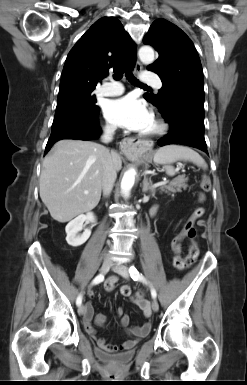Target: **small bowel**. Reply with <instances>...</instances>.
<instances>
[{"mask_svg": "<svg viewBox=\"0 0 247 385\" xmlns=\"http://www.w3.org/2000/svg\"><path fill=\"white\" fill-rule=\"evenodd\" d=\"M157 212V206L152 207L151 214L154 215ZM199 218V216L194 214L190 218L189 222L187 224H193V222ZM118 281V277L116 275L110 276L104 283L105 290L108 292H111L115 289L116 283ZM128 285H123L120 288V292L122 295V289L123 287ZM130 289L131 287L128 286ZM131 292L124 296H130ZM94 293L89 292L88 297L90 299L94 298ZM132 302L142 311L143 315L146 318V322L142 326H134L130 324V317L126 313L125 309L123 307H120L116 311V316L119 317V325L125 330L127 334L134 337L132 340H127L123 342L122 344L116 346V345H110L106 344L105 340L103 338H97L96 342L100 350L108 351V352H117V351H128L130 350L137 342L138 339L146 336L150 329H151V308L150 303L142 296V295H136L132 297ZM86 313L83 317V325L85 331L90 334H95V328L93 324L97 326H103L108 321V316L103 313H98L95 311V308L91 302H87L85 305Z\"/></svg>", "mask_w": 247, "mask_h": 385, "instance_id": "1", "label": "small bowel"}]
</instances>
